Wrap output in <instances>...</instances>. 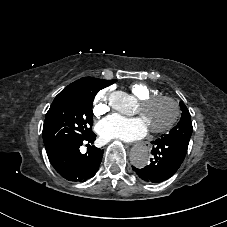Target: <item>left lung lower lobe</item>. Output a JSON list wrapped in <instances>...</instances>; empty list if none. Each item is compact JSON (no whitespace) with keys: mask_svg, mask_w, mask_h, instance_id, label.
Segmentation results:
<instances>
[{"mask_svg":"<svg viewBox=\"0 0 227 227\" xmlns=\"http://www.w3.org/2000/svg\"><path fill=\"white\" fill-rule=\"evenodd\" d=\"M150 165L138 169L132 166L136 174L147 182L159 183L170 178L182 164L189 142L175 138L161 137L152 141Z\"/></svg>","mask_w":227,"mask_h":227,"instance_id":"obj_1","label":"left lung lower lobe"}]
</instances>
